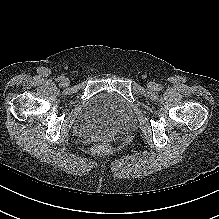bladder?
Wrapping results in <instances>:
<instances>
[{
  "mask_svg": "<svg viewBox=\"0 0 219 219\" xmlns=\"http://www.w3.org/2000/svg\"><path fill=\"white\" fill-rule=\"evenodd\" d=\"M133 118L132 107L112 92H100L81 107L74 127L82 137H110Z\"/></svg>",
  "mask_w": 219,
  "mask_h": 219,
  "instance_id": "bladder-1",
  "label": "bladder"
}]
</instances>
